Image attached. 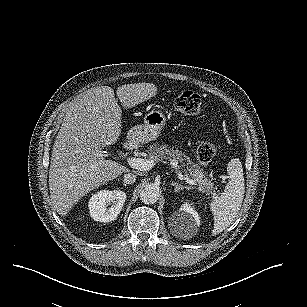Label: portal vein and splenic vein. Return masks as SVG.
I'll return each instance as SVG.
<instances>
[{
  "instance_id": "18ae733b",
  "label": "portal vein and splenic vein",
  "mask_w": 307,
  "mask_h": 307,
  "mask_svg": "<svg viewBox=\"0 0 307 307\" xmlns=\"http://www.w3.org/2000/svg\"><path fill=\"white\" fill-rule=\"evenodd\" d=\"M160 160L157 157H151L149 159H134L131 158L129 160V164L135 168L136 170H140V171H149L151 169H153L155 167V165L159 162ZM175 167V170L177 171V176L181 179V180H185L188 184L193 185L194 184V180L190 179L187 176H183L180 172L179 169H177L178 164L174 163L173 164Z\"/></svg>"
}]
</instances>
